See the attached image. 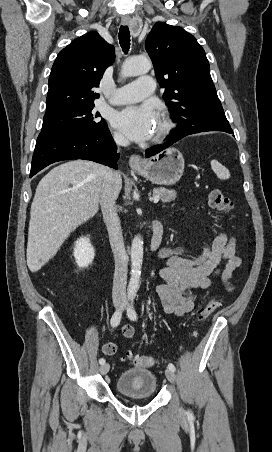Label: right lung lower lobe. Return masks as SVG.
<instances>
[{"label": "right lung lower lobe", "instance_id": "obj_1", "mask_svg": "<svg viewBox=\"0 0 272 452\" xmlns=\"http://www.w3.org/2000/svg\"><path fill=\"white\" fill-rule=\"evenodd\" d=\"M72 159L91 160L118 169L119 154L108 127L94 131L41 132L36 141L30 177L54 162Z\"/></svg>", "mask_w": 272, "mask_h": 452}]
</instances>
